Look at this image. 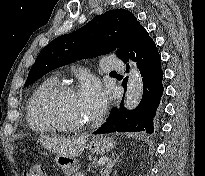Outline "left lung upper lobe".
<instances>
[{
    "instance_id": "obj_1",
    "label": "left lung upper lobe",
    "mask_w": 205,
    "mask_h": 176,
    "mask_svg": "<svg viewBox=\"0 0 205 176\" xmlns=\"http://www.w3.org/2000/svg\"><path fill=\"white\" fill-rule=\"evenodd\" d=\"M141 25L127 10H110L95 16L75 32L59 36L44 47L30 69L25 86L44 74L82 58L97 57L116 48L122 57Z\"/></svg>"
}]
</instances>
